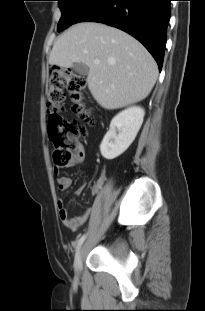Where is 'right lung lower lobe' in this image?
I'll return each instance as SVG.
<instances>
[{"instance_id": "98d812e1", "label": "right lung lower lobe", "mask_w": 205, "mask_h": 311, "mask_svg": "<svg viewBox=\"0 0 205 311\" xmlns=\"http://www.w3.org/2000/svg\"><path fill=\"white\" fill-rule=\"evenodd\" d=\"M171 0H94L76 20L119 28L139 40L162 68ZM74 23V24H75Z\"/></svg>"}]
</instances>
